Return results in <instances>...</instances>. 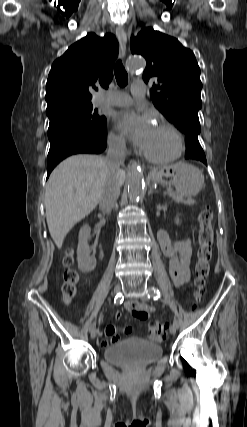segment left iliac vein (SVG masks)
Masks as SVG:
<instances>
[{
    "mask_svg": "<svg viewBox=\"0 0 247 427\" xmlns=\"http://www.w3.org/2000/svg\"><path fill=\"white\" fill-rule=\"evenodd\" d=\"M140 298H141L142 300H147V295H146V294H143V295H141V296H140ZM177 328H178V326H177V325L172 324V325H171V327H170V333H171V334H175V333H176V331H177Z\"/></svg>",
    "mask_w": 247,
    "mask_h": 427,
    "instance_id": "obj_1",
    "label": "left iliac vein"
}]
</instances>
